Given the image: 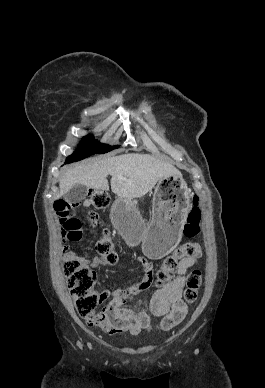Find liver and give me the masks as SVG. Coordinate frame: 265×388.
Instances as JSON below:
<instances>
[{
	"label": "liver",
	"mask_w": 265,
	"mask_h": 388,
	"mask_svg": "<svg viewBox=\"0 0 265 388\" xmlns=\"http://www.w3.org/2000/svg\"><path fill=\"white\" fill-rule=\"evenodd\" d=\"M108 174L112 176L110 182L112 192L119 198H129V200L142 198L163 178H169V176L182 178L181 172L174 166L150 154L92 158L67 170L64 176L59 178L60 192L56 200L67 194L76 184H83L93 190H109L108 180H106ZM118 176L126 180H120Z\"/></svg>",
	"instance_id": "liver-1"
}]
</instances>
